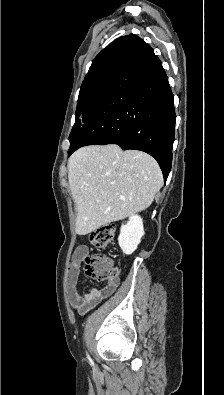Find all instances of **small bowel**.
Wrapping results in <instances>:
<instances>
[{"label": "small bowel", "mask_w": 224, "mask_h": 395, "mask_svg": "<svg viewBox=\"0 0 224 395\" xmlns=\"http://www.w3.org/2000/svg\"><path fill=\"white\" fill-rule=\"evenodd\" d=\"M88 253L89 247L87 245H80L76 249L67 275V293L70 305L79 314H85L98 305L102 299L112 295L119 285V279L116 278L108 282L102 289L94 288L86 294L78 293L80 264L87 257Z\"/></svg>", "instance_id": "c3829d8e"}]
</instances>
